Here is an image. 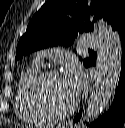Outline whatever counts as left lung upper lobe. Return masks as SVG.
Masks as SVG:
<instances>
[{"instance_id": "obj_1", "label": "left lung upper lobe", "mask_w": 125, "mask_h": 128, "mask_svg": "<svg viewBox=\"0 0 125 128\" xmlns=\"http://www.w3.org/2000/svg\"><path fill=\"white\" fill-rule=\"evenodd\" d=\"M91 16H94L91 23ZM103 18L117 31L125 23V0L47 1L30 20L20 38L15 61L23 55L54 45L69 46L78 32L92 31L93 23ZM82 61V58H80ZM94 59L83 60L87 67Z\"/></svg>"}]
</instances>
